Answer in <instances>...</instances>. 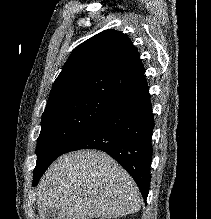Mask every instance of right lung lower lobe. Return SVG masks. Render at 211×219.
Listing matches in <instances>:
<instances>
[{
  "mask_svg": "<svg viewBox=\"0 0 211 219\" xmlns=\"http://www.w3.org/2000/svg\"><path fill=\"white\" fill-rule=\"evenodd\" d=\"M154 117L149 88L116 105L63 152L98 149L114 158L135 180L143 199L150 186Z\"/></svg>",
  "mask_w": 211,
  "mask_h": 219,
  "instance_id": "obj_1",
  "label": "right lung lower lobe"
}]
</instances>
